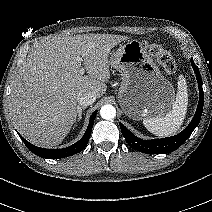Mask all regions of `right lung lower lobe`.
Listing matches in <instances>:
<instances>
[{
	"label": "right lung lower lobe",
	"mask_w": 212,
	"mask_h": 212,
	"mask_svg": "<svg viewBox=\"0 0 212 212\" xmlns=\"http://www.w3.org/2000/svg\"><path fill=\"white\" fill-rule=\"evenodd\" d=\"M96 113H97V111H95L91 115L89 125L87 127V130H86L84 136L77 143H75L67 148H62V149L40 148V147L34 146L33 144L29 143L20 134H18V135L20 136L22 141L25 143L27 148L36 155L43 157V158H49V159L64 158V157L79 153L81 150H83L86 147V145L89 141L90 135H91V131H92V127L94 124V119H95Z\"/></svg>",
	"instance_id": "right-lung-lower-lobe-1"
}]
</instances>
